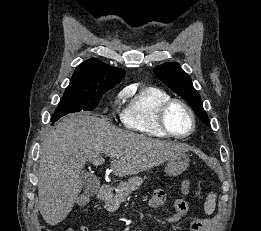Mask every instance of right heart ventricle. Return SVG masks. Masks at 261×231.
I'll return each mask as SVG.
<instances>
[{"label":"right heart ventricle","instance_id":"e07e8e85","mask_svg":"<svg viewBox=\"0 0 261 231\" xmlns=\"http://www.w3.org/2000/svg\"><path fill=\"white\" fill-rule=\"evenodd\" d=\"M129 97L121 113L124 127L145 136L167 138L158 124V111L162 104L172 97L166 91L149 87L134 91L127 88L124 93Z\"/></svg>","mask_w":261,"mask_h":231}]
</instances>
